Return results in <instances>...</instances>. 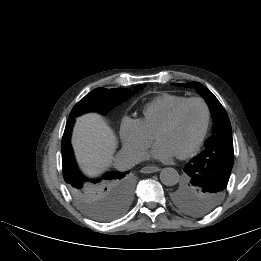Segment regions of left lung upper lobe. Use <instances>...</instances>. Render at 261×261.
I'll return each mask as SVG.
<instances>
[{
	"label": "left lung upper lobe",
	"instance_id": "obj_1",
	"mask_svg": "<svg viewBox=\"0 0 261 261\" xmlns=\"http://www.w3.org/2000/svg\"><path fill=\"white\" fill-rule=\"evenodd\" d=\"M173 84L194 87L207 102L214 123L205 150L189 161L198 169L197 175H186L172 194L173 202L179 209L193 216H203L221 202L227 190L234 161L231 124L221 103L202 84Z\"/></svg>",
	"mask_w": 261,
	"mask_h": 261
}]
</instances>
